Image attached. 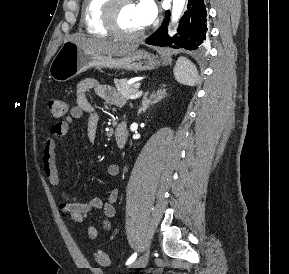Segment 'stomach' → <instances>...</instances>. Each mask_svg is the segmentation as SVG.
I'll use <instances>...</instances> for the list:
<instances>
[{
	"label": "stomach",
	"instance_id": "0dacf381",
	"mask_svg": "<svg viewBox=\"0 0 289 274\" xmlns=\"http://www.w3.org/2000/svg\"><path fill=\"white\" fill-rule=\"evenodd\" d=\"M161 61L168 64L171 59L162 57L159 60L157 56L144 50L114 58L85 50L73 41H65L50 64L49 74L55 81L65 82L90 68L146 71L154 69Z\"/></svg>",
	"mask_w": 289,
	"mask_h": 274
}]
</instances>
